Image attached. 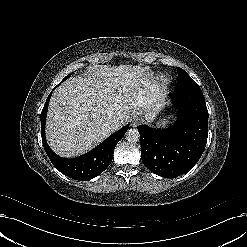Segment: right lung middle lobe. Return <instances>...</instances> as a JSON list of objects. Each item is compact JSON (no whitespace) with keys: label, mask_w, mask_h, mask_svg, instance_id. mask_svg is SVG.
Masks as SVG:
<instances>
[{"label":"right lung middle lobe","mask_w":247,"mask_h":247,"mask_svg":"<svg viewBox=\"0 0 247 247\" xmlns=\"http://www.w3.org/2000/svg\"><path fill=\"white\" fill-rule=\"evenodd\" d=\"M69 77H70V75L66 76L62 81L66 80V79L69 78Z\"/></svg>","instance_id":"obj_1"}]
</instances>
